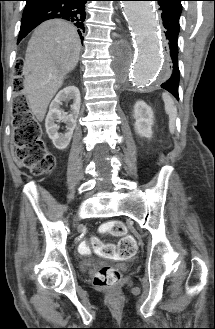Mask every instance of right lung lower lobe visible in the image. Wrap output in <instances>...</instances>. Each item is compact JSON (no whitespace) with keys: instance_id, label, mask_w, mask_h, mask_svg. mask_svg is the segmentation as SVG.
Masks as SVG:
<instances>
[{"instance_id":"98d812e1","label":"right lung lower lobe","mask_w":215,"mask_h":329,"mask_svg":"<svg viewBox=\"0 0 215 329\" xmlns=\"http://www.w3.org/2000/svg\"><path fill=\"white\" fill-rule=\"evenodd\" d=\"M18 43L41 22L62 18L74 23L83 41L85 4L89 0H25Z\"/></svg>"}]
</instances>
